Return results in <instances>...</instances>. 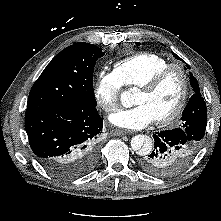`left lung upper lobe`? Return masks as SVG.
Masks as SVG:
<instances>
[{
  "label": "left lung upper lobe",
  "mask_w": 221,
  "mask_h": 221,
  "mask_svg": "<svg viewBox=\"0 0 221 221\" xmlns=\"http://www.w3.org/2000/svg\"><path fill=\"white\" fill-rule=\"evenodd\" d=\"M186 65L190 68L188 64ZM190 84L194 94L184 108L179 128L183 129L197 146H200L207 125V109L206 103L201 97L198 82L192 73H190Z\"/></svg>",
  "instance_id": "1"
}]
</instances>
